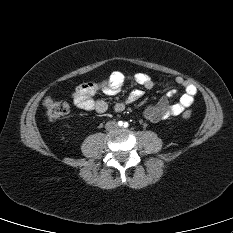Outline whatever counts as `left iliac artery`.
<instances>
[{
    "label": "left iliac artery",
    "mask_w": 233,
    "mask_h": 233,
    "mask_svg": "<svg viewBox=\"0 0 233 233\" xmlns=\"http://www.w3.org/2000/svg\"><path fill=\"white\" fill-rule=\"evenodd\" d=\"M124 126H125V127H128V123H127V122H126V123H124Z\"/></svg>",
    "instance_id": "44dca946"
}]
</instances>
